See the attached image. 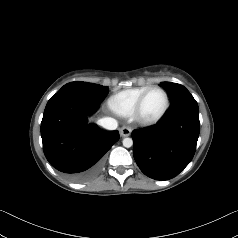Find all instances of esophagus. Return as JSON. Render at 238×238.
Listing matches in <instances>:
<instances>
[{
	"instance_id": "34e87169",
	"label": "esophagus",
	"mask_w": 238,
	"mask_h": 238,
	"mask_svg": "<svg viewBox=\"0 0 238 238\" xmlns=\"http://www.w3.org/2000/svg\"><path fill=\"white\" fill-rule=\"evenodd\" d=\"M131 132H132V129H131V127H128V126H124L120 129V135L122 137L129 136L131 134Z\"/></svg>"
}]
</instances>
